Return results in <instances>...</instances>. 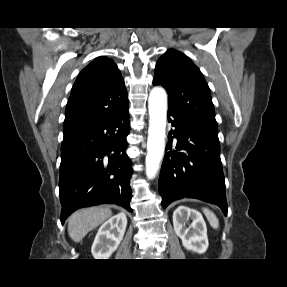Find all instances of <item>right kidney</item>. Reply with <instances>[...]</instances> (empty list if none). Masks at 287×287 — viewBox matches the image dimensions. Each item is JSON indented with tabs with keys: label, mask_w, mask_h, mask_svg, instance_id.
Instances as JSON below:
<instances>
[{
	"label": "right kidney",
	"mask_w": 287,
	"mask_h": 287,
	"mask_svg": "<svg viewBox=\"0 0 287 287\" xmlns=\"http://www.w3.org/2000/svg\"><path fill=\"white\" fill-rule=\"evenodd\" d=\"M127 226V217L121 212L109 218L99 228L91 252L95 259H108L118 248Z\"/></svg>",
	"instance_id": "right-kidney-1"
}]
</instances>
